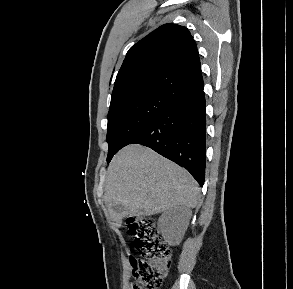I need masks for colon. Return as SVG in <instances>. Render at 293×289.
<instances>
[{
	"label": "colon",
	"instance_id": "5ec220e1",
	"mask_svg": "<svg viewBox=\"0 0 293 289\" xmlns=\"http://www.w3.org/2000/svg\"><path fill=\"white\" fill-rule=\"evenodd\" d=\"M127 228L141 254V258L131 259L135 278L132 289H159L171 264L170 249L150 219H130Z\"/></svg>",
	"mask_w": 293,
	"mask_h": 289
}]
</instances>
